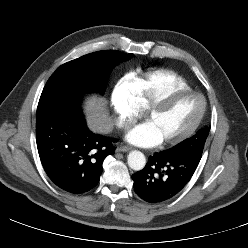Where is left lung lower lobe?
<instances>
[{
    "label": "left lung lower lobe",
    "mask_w": 248,
    "mask_h": 248,
    "mask_svg": "<svg viewBox=\"0 0 248 248\" xmlns=\"http://www.w3.org/2000/svg\"><path fill=\"white\" fill-rule=\"evenodd\" d=\"M201 157L202 154L196 152L155 153L145 168L132 175L134 191L149 203L170 200L189 182Z\"/></svg>",
    "instance_id": "1"
}]
</instances>
